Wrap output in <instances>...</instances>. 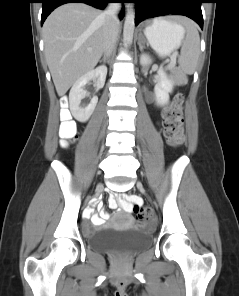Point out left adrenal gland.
Here are the masks:
<instances>
[{
	"label": "left adrenal gland",
	"mask_w": 239,
	"mask_h": 296,
	"mask_svg": "<svg viewBox=\"0 0 239 296\" xmlns=\"http://www.w3.org/2000/svg\"><path fill=\"white\" fill-rule=\"evenodd\" d=\"M138 45H139L140 50H142L143 49V45H142L140 39H139Z\"/></svg>",
	"instance_id": "obj_1"
}]
</instances>
